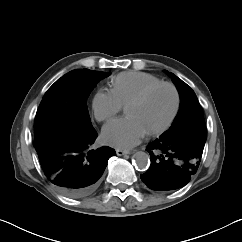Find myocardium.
I'll list each match as a JSON object with an SVG mask.
<instances>
[{"mask_svg":"<svg viewBox=\"0 0 242 242\" xmlns=\"http://www.w3.org/2000/svg\"><path fill=\"white\" fill-rule=\"evenodd\" d=\"M160 86H168V87H170L173 90L174 95H175V106H174V110H173L170 118L167 120V122L164 123L163 125H161L160 127L156 128V129H153V130H151L149 132H146V134L148 136H156V135L164 133L175 122V120H176V118L178 116L179 110H180V106H181V96H180L178 88L172 82L159 81L157 83H154V84L146 87L138 95L133 97L126 105V109H127L131 105L138 104V103L144 101L150 95V93L152 91H154L156 88H158Z\"/></svg>","mask_w":242,"mask_h":242,"instance_id":"1","label":"myocardium"}]
</instances>
